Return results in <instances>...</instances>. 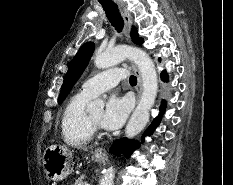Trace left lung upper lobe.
Here are the masks:
<instances>
[{"instance_id":"obj_1","label":"left lung upper lobe","mask_w":233,"mask_h":185,"mask_svg":"<svg viewBox=\"0 0 233 185\" xmlns=\"http://www.w3.org/2000/svg\"><path fill=\"white\" fill-rule=\"evenodd\" d=\"M131 35L134 43L139 45L143 43V38H140L138 36L137 31L134 27L132 28ZM93 51H94V43L93 42L85 43L80 47L78 53L70 62L69 69L65 75L63 86L59 95V99H58L59 103H61L66 98L67 94L70 92L73 85L82 74L83 70L85 69L91 58Z\"/></svg>"}]
</instances>
